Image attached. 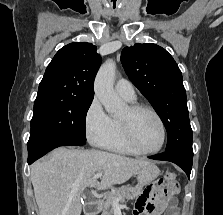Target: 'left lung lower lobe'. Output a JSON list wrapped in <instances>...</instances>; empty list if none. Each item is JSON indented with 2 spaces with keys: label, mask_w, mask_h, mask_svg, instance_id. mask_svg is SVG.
I'll return each mask as SVG.
<instances>
[{
  "label": "left lung lower lobe",
  "mask_w": 223,
  "mask_h": 215,
  "mask_svg": "<svg viewBox=\"0 0 223 215\" xmlns=\"http://www.w3.org/2000/svg\"><path fill=\"white\" fill-rule=\"evenodd\" d=\"M149 158L155 159V160L173 162L177 164L179 167H181L187 174L188 178H190V173L192 169L193 152L186 153V152H177V151H165L164 153H161V154L149 156Z\"/></svg>",
  "instance_id": "1"
}]
</instances>
